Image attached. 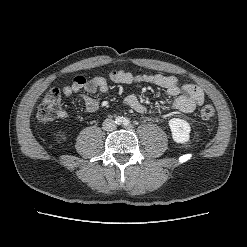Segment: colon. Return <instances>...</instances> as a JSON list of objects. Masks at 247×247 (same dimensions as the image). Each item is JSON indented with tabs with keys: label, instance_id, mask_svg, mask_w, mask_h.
<instances>
[{
	"label": "colon",
	"instance_id": "5ec220e1",
	"mask_svg": "<svg viewBox=\"0 0 247 247\" xmlns=\"http://www.w3.org/2000/svg\"><path fill=\"white\" fill-rule=\"evenodd\" d=\"M61 108V95L57 88L49 90L42 99L37 116L43 122L53 121L59 116ZM215 114V109L210 104H205L200 108L199 116L202 120H210Z\"/></svg>",
	"mask_w": 247,
	"mask_h": 247
}]
</instances>
